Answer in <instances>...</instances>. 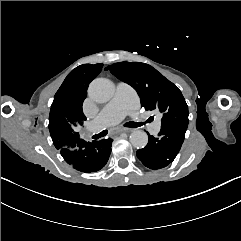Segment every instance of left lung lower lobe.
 Here are the masks:
<instances>
[{
	"mask_svg": "<svg viewBox=\"0 0 241 241\" xmlns=\"http://www.w3.org/2000/svg\"><path fill=\"white\" fill-rule=\"evenodd\" d=\"M187 126L188 124L167 123L161 126L157 138L148 134V144L136 153L138 159L151 169L169 165L180 151Z\"/></svg>",
	"mask_w": 241,
	"mask_h": 241,
	"instance_id": "left-lung-lower-lobe-1",
	"label": "left lung lower lobe"
}]
</instances>
